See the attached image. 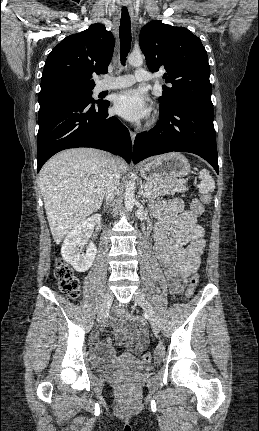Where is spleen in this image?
<instances>
[{"instance_id":"3e777b00","label":"spleen","mask_w":259,"mask_h":431,"mask_svg":"<svg viewBox=\"0 0 259 431\" xmlns=\"http://www.w3.org/2000/svg\"><path fill=\"white\" fill-rule=\"evenodd\" d=\"M199 178L201 180L199 184V192L202 194H208L214 191L215 189V182L214 179L211 177L209 171L207 169H202L199 175Z\"/></svg>"}]
</instances>
